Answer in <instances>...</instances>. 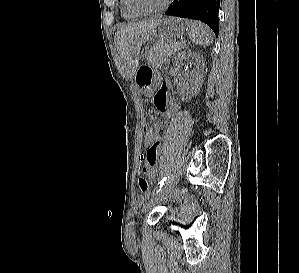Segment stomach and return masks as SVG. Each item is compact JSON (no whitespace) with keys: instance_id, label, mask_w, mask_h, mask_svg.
<instances>
[{"instance_id":"1","label":"stomach","mask_w":299,"mask_h":273,"mask_svg":"<svg viewBox=\"0 0 299 273\" xmlns=\"http://www.w3.org/2000/svg\"><path fill=\"white\" fill-rule=\"evenodd\" d=\"M186 28V24L183 20L167 17L161 19L155 29V35L161 41H173L182 36ZM135 82L143 94H148L152 91L154 84L158 81L160 74L156 69L152 67H135Z\"/></svg>"}]
</instances>
